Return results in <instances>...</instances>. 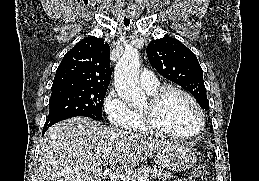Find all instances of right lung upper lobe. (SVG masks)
Returning <instances> with one entry per match:
<instances>
[{
    "instance_id": "obj_1",
    "label": "right lung upper lobe",
    "mask_w": 259,
    "mask_h": 181,
    "mask_svg": "<svg viewBox=\"0 0 259 181\" xmlns=\"http://www.w3.org/2000/svg\"><path fill=\"white\" fill-rule=\"evenodd\" d=\"M110 46L102 38L87 37L65 54L52 88L71 86L108 88L111 79Z\"/></svg>"
}]
</instances>
